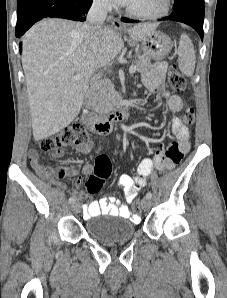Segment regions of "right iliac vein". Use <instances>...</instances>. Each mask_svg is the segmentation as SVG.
I'll use <instances>...</instances> for the list:
<instances>
[{"label":"right iliac vein","mask_w":227,"mask_h":298,"mask_svg":"<svg viewBox=\"0 0 227 298\" xmlns=\"http://www.w3.org/2000/svg\"><path fill=\"white\" fill-rule=\"evenodd\" d=\"M73 213L77 214L81 211V206L78 203L72 204L71 206Z\"/></svg>","instance_id":"right-iliac-vein-1"}]
</instances>
